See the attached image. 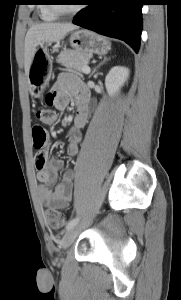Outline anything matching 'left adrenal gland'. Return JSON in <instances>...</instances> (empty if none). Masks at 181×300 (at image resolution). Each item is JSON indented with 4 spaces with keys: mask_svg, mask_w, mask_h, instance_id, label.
<instances>
[{
    "mask_svg": "<svg viewBox=\"0 0 181 300\" xmlns=\"http://www.w3.org/2000/svg\"><path fill=\"white\" fill-rule=\"evenodd\" d=\"M108 61L107 58H105L102 62L99 63V65H97V67H95L92 71V73L89 75V77H91L93 74H95V72L97 71V69H99L102 65L105 64V62Z\"/></svg>",
    "mask_w": 181,
    "mask_h": 300,
    "instance_id": "a2214340",
    "label": "left adrenal gland"
}]
</instances>
